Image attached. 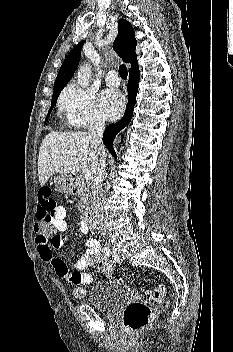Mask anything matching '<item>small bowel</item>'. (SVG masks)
<instances>
[{
	"label": "small bowel",
	"mask_w": 233,
	"mask_h": 352,
	"mask_svg": "<svg viewBox=\"0 0 233 352\" xmlns=\"http://www.w3.org/2000/svg\"><path fill=\"white\" fill-rule=\"evenodd\" d=\"M67 208L57 204L56 199L53 196V190L49 186H43L38 191V207H37V220H48L55 231L65 232L67 230L66 222ZM79 231L81 233H87L88 226L85 221L81 220L79 224ZM38 252L43 261L48 262L54 268L57 276L63 279L67 285L71 288L74 287L72 282L73 275H80L82 284H89L93 280L91 273H82L81 271L87 267V257L92 254H99L100 244L95 239H89L86 242L87 250L85 254L72 266V272L65 261L54 256V252L61 249L65 237L60 235L59 241H43L37 238Z\"/></svg>",
	"instance_id": "c3829d8e"
}]
</instances>
